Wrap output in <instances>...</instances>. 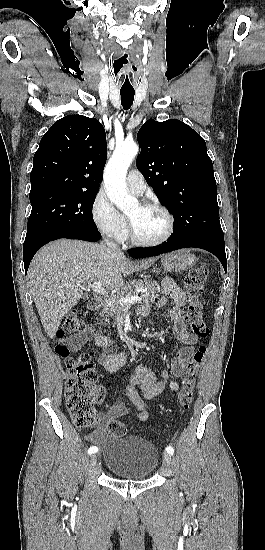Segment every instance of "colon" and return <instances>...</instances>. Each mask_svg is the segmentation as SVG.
<instances>
[{
	"label": "colon",
	"mask_w": 265,
	"mask_h": 550,
	"mask_svg": "<svg viewBox=\"0 0 265 550\" xmlns=\"http://www.w3.org/2000/svg\"><path fill=\"white\" fill-rule=\"evenodd\" d=\"M208 281V268L199 265L185 277V285L188 293V306L186 311L187 321L195 335L207 340L210 329L203 319L202 295ZM86 329V322L80 317L77 310H71L66 315L61 327L57 331V337L63 338L69 334L82 333ZM56 353L64 359L69 371L66 381V407L70 413L73 424L79 428L92 426L95 422L94 406L104 396V391L96 384L97 373L91 357L81 353L77 357L71 356L70 349L65 345H57ZM207 347L199 345L190 360L182 376V387L178 393V402L182 409L190 408L196 384V377L202 365ZM108 431L112 436H124L127 432L124 423L112 420L108 423Z\"/></svg>",
	"instance_id": "obj_1"
}]
</instances>
